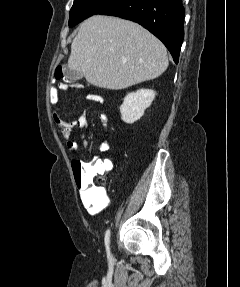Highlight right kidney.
I'll list each match as a JSON object with an SVG mask.
<instances>
[{
  "instance_id": "1",
  "label": "right kidney",
  "mask_w": 240,
  "mask_h": 287,
  "mask_svg": "<svg viewBox=\"0 0 240 287\" xmlns=\"http://www.w3.org/2000/svg\"><path fill=\"white\" fill-rule=\"evenodd\" d=\"M155 95L156 92L150 89H140L127 94L120 106L121 119L128 124L139 120L150 107Z\"/></svg>"
}]
</instances>
